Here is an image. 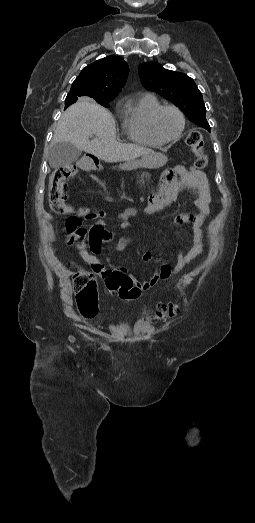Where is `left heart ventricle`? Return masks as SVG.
<instances>
[{"label":"left heart ventricle","instance_id":"1","mask_svg":"<svg viewBox=\"0 0 255 523\" xmlns=\"http://www.w3.org/2000/svg\"><path fill=\"white\" fill-rule=\"evenodd\" d=\"M180 127V117L173 109L163 110L156 120L158 133L166 139L175 137L179 133Z\"/></svg>","mask_w":255,"mask_h":523}]
</instances>
